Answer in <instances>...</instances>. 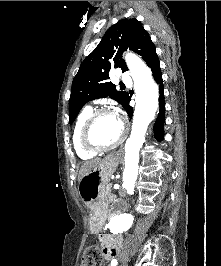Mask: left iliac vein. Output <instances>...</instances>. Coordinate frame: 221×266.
<instances>
[{
  "mask_svg": "<svg viewBox=\"0 0 221 266\" xmlns=\"http://www.w3.org/2000/svg\"><path fill=\"white\" fill-rule=\"evenodd\" d=\"M122 266H127V264H124V265H122Z\"/></svg>",
  "mask_w": 221,
  "mask_h": 266,
  "instance_id": "1",
  "label": "left iliac vein"
}]
</instances>
